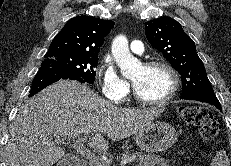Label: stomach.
<instances>
[{"label": "stomach", "mask_w": 231, "mask_h": 166, "mask_svg": "<svg viewBox=\"0 0 231 166\" xmlns=\"http://www.w3.org/2000/svg\"><path fill=\"white\" fill-rule=\"evenodd\" d=\"M177 136V132L171 124L156 121L139 130L135 135V141L141 150L160 153L172 147Z\"/></svg>", "instance_id": "obj_1"}]
</instances>
